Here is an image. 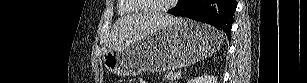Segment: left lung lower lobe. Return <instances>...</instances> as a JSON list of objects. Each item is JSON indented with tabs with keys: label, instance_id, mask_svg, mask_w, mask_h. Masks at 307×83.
Listing matches in <instances>:
<instances>
[{
	"label": "left lung lower lobe",
	"instance_id": "left-lung-lower-lobe-1",
	"mask_svg": "<svg viewBox=\"0 0 307 83\" xmlns=\"http://www.w3.org/2000/svg\"><path fill=\"white\" fill-rule=\"evenodd\" d=\"M236 7L235 0H179L169 13L212 25L230 38Z\"/></svg>",
	"mask_w": 307,
	"mask_h": 83
}]
</instances>
